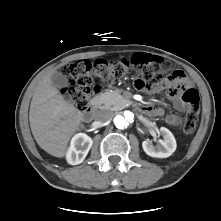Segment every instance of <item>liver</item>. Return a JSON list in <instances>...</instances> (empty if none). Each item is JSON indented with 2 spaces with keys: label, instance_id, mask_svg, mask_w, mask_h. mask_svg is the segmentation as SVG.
<instances>
[{
  "label": "liver",
  "instance_id": "1",
  "mask_svg": "<svg viewBox=\"0 0 221 221\" xmlns=\"http://www.w3.org/2000/svg\"><path fill=\"white\" fill-rule=\"evenodd\" d=\"M53 73L45 75L35 87L29 121L37 144L48 154L62 158L84 118L82 112L65 100L53 86Z\"/></svg>",
  "mask_w": 221,
  "mask_h": 221
}]
</instances>
